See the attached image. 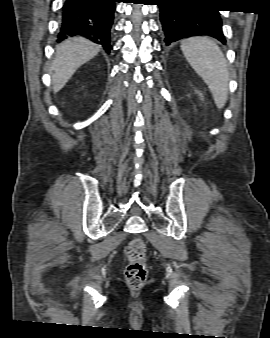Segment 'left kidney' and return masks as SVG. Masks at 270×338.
I'll use <instances>...</instances> for the list:
<instances>
[{
  "instance_id": "1",
  "label": "left kidney",
  "mask_w": 270,
  "mask_h": 338,
  "mask_svg": "<svg viewBox=\"0 0 270 338\" xmlns=\"http://www.w3.org/2000/svg\"><path fill=\"white\" fill-rule=\"evenodd\" d=\"M199 95L202 97V93H199Z\"/></svg>"
}]
</instances>
